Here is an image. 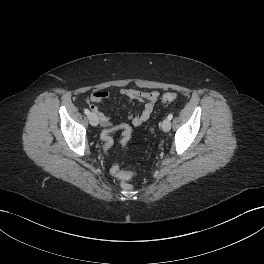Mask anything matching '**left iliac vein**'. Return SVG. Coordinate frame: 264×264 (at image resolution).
<instances>
[{
  "label": "left iliac vein",
  "instance_id": "left-iliac-vein-1",
  "mask_svg": "<svg viewBox=\"0 0 264 264\" xmlns=\"http://www.w3.org/2000/svg\"><path fill=\"white\" fill-rule=\"evenodd\" d=\"M171 129V122L168 118L164 119L162 122V130L168 132Z\"/></svg>",
  "mask_w": 264,
  "mask_h": 264
}]
</instances>
